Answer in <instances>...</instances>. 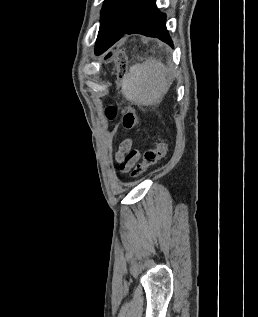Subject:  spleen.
<instances>
[{"label":"spleen","mask_w":258,"mask_h":317,"mask_svg":"<svg viewBox=\"0 0 258 317\" xmlns=\"http://www.w3.org/2000/svg\"><path fill=\"white\" fill-rule=\"evenodd\" d=\"M168 72L165 64L155 58L134 64L122 80V94L132 104H159L171 84Z\"/></svg>","instance_id":"3e777b00"}]
</instances>
